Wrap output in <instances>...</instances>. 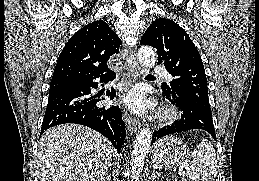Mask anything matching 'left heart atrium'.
Wrapping results in <instances>:
<instances>
[{"instance_id": "1", "label": "left heart atrium", "mask_w": 259, "mask_h": 181, "mask_svg": "<svg viewBox=\"0 0 259 181\" xmlns=\"http://www.w3.org/2000/svg\"><path fill=\"white\" fill-rule=\"evenodd\" d=\"M122 102L134 112L142 113L148 108V102L139 89H132L123 98Z\"/></svg>"}]
</instances>
